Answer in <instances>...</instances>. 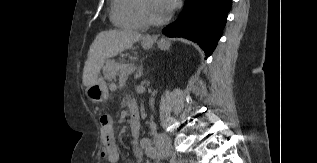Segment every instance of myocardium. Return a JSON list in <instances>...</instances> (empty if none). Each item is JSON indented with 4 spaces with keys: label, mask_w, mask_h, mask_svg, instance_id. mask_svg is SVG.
Returning <instances> with one entry per match:
<instances>
[{
    "label": "myocardium",
    "mask_w": 317,
    "mask_h": 163,
    "mask_svg": "<svg viewBox=\"0 0 317 163\" xmlns=\"http://www.w3.org/2000/svg\"><path fill=\"white\" fill-rule=\"evenodd\" d=\"M138 7H139V12L141 17L148 25H153V26L163 25L166 22H168L170 19V14L160 19L153 17L150 14L149 10L147 9L145 0H139Z\"/></svg>",
    "instance_id": "1"
}]
</instances>
